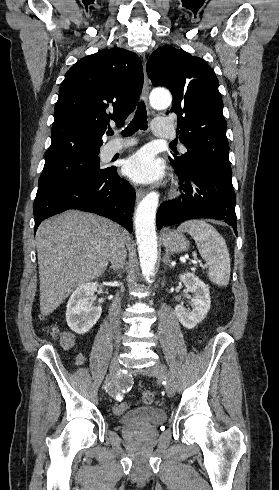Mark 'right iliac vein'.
<instances>
[{
    "label": "right iliac vein",
    "instance_id": "63e3f726",
    "mask_svg": "<svg viewBox=\"0 0 279 490\" xmlns=\"http://www.w3.org/2000/svg\"><path fill=\"white\" fill-rule=\"evenodd\" d=\"M118 370H119V364L117 359L114 358L111 360L110 368H109V376L106 378V381L108 383V388H110V383L113 381L114 376L117 375Z\"/></svg>",
    "mask_w": 279,
    "mask_h": 490
}]
</instances>
